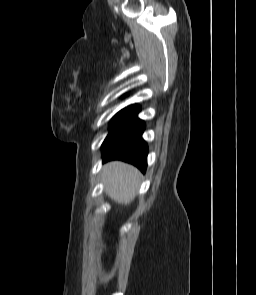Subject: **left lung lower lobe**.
I'll list each match as a JSON object with an SVG mask.
<instances>
[{
	"label": "left lung lower lobe",
	"instance_id": "1",
	"mask_svg": "<svg viewBox=\"0 0 256 295\" xmlns=\"http://www.w3.org/2000/svg\"><path fill=\"white\" fill-rule=\"evenodd\" d=\"M137 113L138 111L110 131L101 146L102 158L103 161L122 160L145 172L148 147L142 139L145 125L136 117Z\"/></svg>",
	"mask_w": 256,
	"mask_h": 295
}]
</instances>
